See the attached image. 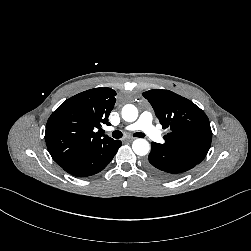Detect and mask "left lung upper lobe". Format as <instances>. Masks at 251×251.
<instances>
[{
  "label": "left lung upper lobe",
  "instance_id": "5c2ea615",
  "mask_svg": "<svg viewBox=\"0 0 251 251\" xmlns=\"http://www.w3.org/2000/svg\"><path fill=\"white\" fill-rule=\"evenodd\" d=\"M152 105L163 128H170L165 143L157 146L201 162L207 155L212 131L206 114L192 101L169 90L143 93Z\"/></svg>",
  "mask_w": 251,
  "mask_h": 251
}]
</instances>
